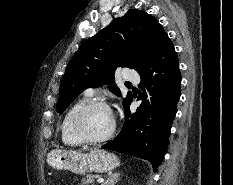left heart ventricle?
Returning <instances> with one entry per match:
<instances>
[{"instance_id": "obj_1", "label": "left heart ventricle", "mask_w": 233, "mask_h": 185, "mask_svg": "<svg viewBox=\"0 0 233 185\" xmlns=\"http://www.w3.org/2000/svg\"><path fill=\"white\" fill-rule=\"evenodd\" d=\"M112 114L104 108H94L89 111L82 121V128L91 138L102 137L112 127Z\"/></svg>"}]
</instances>
